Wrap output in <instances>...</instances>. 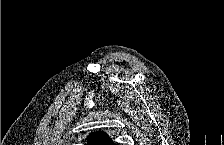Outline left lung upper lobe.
<instances>
[{
	"label": "left lung upper lobe",
	"mask_w": 224,
	"mask_h": 145,
	"mask_svg": "<svg viewBox=\"0 0 224 145\" xmlns=\"http://www.w3.org/2000/svg\"><path fill=\"white\" fill-rule=\"evenodd\" d=\"M87 140L89 141L87 145H114L112 140L104 132L92 133Z\"/></svg>",
	"instance_id": "left-lung-upper-lobe-1"
}]
</instances>
